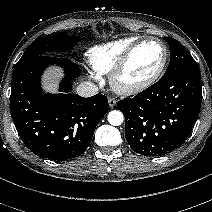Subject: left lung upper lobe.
I'll use <instances>...</instances> for the list:
<instances>
[{
    "label": "left lung upper lobe",
    "mask_w": 212,
    "mask_h": 212,
    "mask_svg": "<svg viewBox=\"0 0 212 212\" xmlns=\"http://www.w3.org/2000/svg\"><path fill=\"white\" fill-rule=\"evenodd\" d=\"M170 48V63L162 78L169 77L181 70L198 67L196 61L192 58L184 46L171 37H164Z\"/></svg>",
    "instance_id": "5c2ea615"
}]
</instances>
